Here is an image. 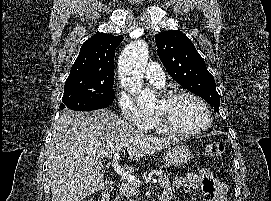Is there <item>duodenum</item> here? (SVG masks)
<instances>
[{"label":"duodenum","instance_id":"duodenum-1","mask_svg":"<svg viewBox=\"0 0 271 201\" xmlns=\"http://www.w3.org/2000/svg\"><path fill=\"white\" fill-rule=\"evenodd\" d=\"M116 187V183L112 180L107 181L100 190V201H110L112 191ZM171 195L163 194L161 201H170Z\"/></svg>","mask_w":271,"mask_h":201}]
</instances>
